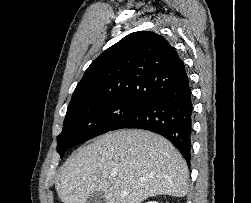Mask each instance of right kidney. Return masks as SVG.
Segmentation results:
<instances>
[{"mask_svg": "<svg viewBox=\"0 0 251 203\" xmlns=\"http://www.w3.org/2000/svg\"><path fill=\"white\" fill-rule=\"evenodd\" d=\"M146 203H158V202H156V201H148Z\"/></svg>", "mask_w": 251, "mask_h": 203, "instance_id": "ca27d5eb", "label": "right kidney"}]
</instances>
